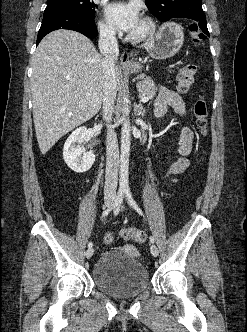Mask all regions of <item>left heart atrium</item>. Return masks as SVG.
<instances>
[{
    "instance_id": "1",
    "label": "left heart atrium",
    "mask_w": 247,
    "mask_h": 332,
    "mask_svg": "<svg viewBox=\"0 0 247 332\" xmlns=\"http://www.w3.org/2000/svg\"><path fill=\"white\" fill-rule=\"evenodd\" d=\"M106 17L115 29L132 33L140 21L139 11L133 3L116 2L106 9Z\"/></svg>"
}]
</instances>
